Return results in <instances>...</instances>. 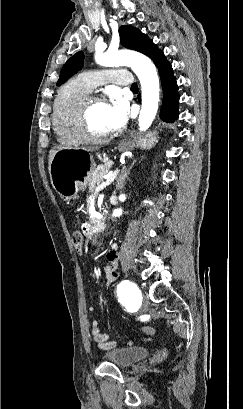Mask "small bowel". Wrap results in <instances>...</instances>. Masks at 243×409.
<instances>
[{
	"instance_id": "c3829d8e",
	"label": "small bowel",
	"mask_w": 243,
	"mask_h": 409,
	"mask_svg": "<svg viewBox=\"0 0 243 409\" xmlns=\"http://www.w3.org/2000/svg\"><path fill=\"white\" fill-rule=\"evenodd\" d=\"M108 263L105 267V272H106V288L109 287V285L114 282L115 280L118 279L119 274L117 272V254L114 250H112L108 254ZM97 309L96 306L92 305L89 307L90 312H94ZM91 329H92V337L93 340L95 341L96 345L100 349H111L115 347L116 341L115 340H109V336L101 331L99 321L94 318L91 321ZM120 335L116 336V339L119 338ZM150 339V336L142 335L137 337L136 339H129L126 341L128 345H133L135 343L139 342H146Z\"/></svg>"
}]
</instances>
